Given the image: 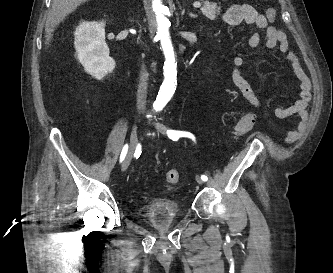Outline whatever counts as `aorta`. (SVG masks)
I'll return each instance as SVG.
<instances>
[{"label":"aorta","mask_w":333,"mask_h":273,"mask_svg":"<svg viewBox=\"0 0 333 273\" xmlns=\"http://www.w3.org/2000/svg\"><path fill=\"white\" fill-rule=\"evenodd\" d=\"M152 8L155 12L157 21L156 37L160 40L165 56V63L163 67L164 82L157 96V103L159 105H164L170 100L175 90L177 64L175 63V54L169 33L170 23L165 16L167 7L162 4L161 0H152Z\"/></svg>","instance_id":"1"}]
</instances>
